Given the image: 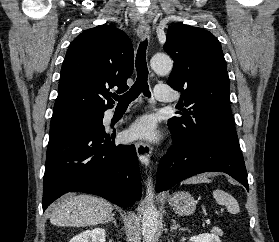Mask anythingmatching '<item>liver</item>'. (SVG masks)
<instances>
[{
    "label": "liver",
    "mask_w": 279,
    "mask_h": 242,
    "mask_svg": "<svg viewBox=\"0 0 279 242\" xmlns=\"http://www.w3.org/2000/svg\"><path fill=\"white\" fill-rule=\"evenodd\" d=\"M202 176L188 180V183L204 182ZM112 205L91 195H65L52 209L50 222L55 226L84 227L104 223L111 216Z\"/></svg>",
    "instance_id": "obj_1"
}]
</instances>
